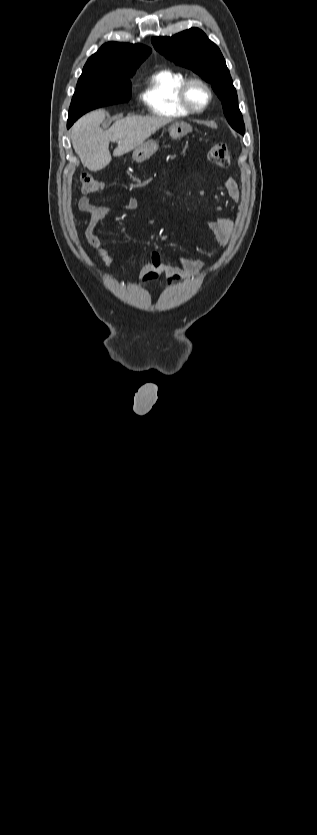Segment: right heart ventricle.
I'll use <instances>...</instances> for the list:
<instances>
[{
	"label": "right heart ventricle",
	"instance_id": "right-heart-ventricle-1",
	"mask_svg": "<svg viewBox=\"0 0 317 835\" xmlns=\"http://www.w3.org/2000/svg\"><path fill=\"white\" fill-rule=\"evenodd\" d=\"M187 79L186 75L171 68H160L145 80L141 100L147 109L163 117L186 116L190 112L181 104L179 90Z\"/></svg>",
	"mask_w": 317,
	"mask_h": 835
}]
</instances>
